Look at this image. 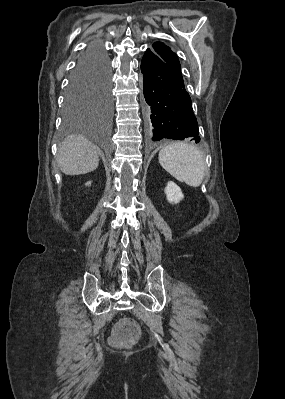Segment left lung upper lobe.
<instances>
[{"label": "left lung upper lobe", "mask_w": 285, "mask_h": 399, "mask_svg": "<svg viewBox=\"0 0 285 399\" xmlns=\"http://www.w3.org/2000/svg\"><path fill=\"white\" fill-rule=\"evenodd\" d=\"M154 51L169 63L178 73H181V67L176 54L162 42H155L153 44Z\"/></svg>", "instance_id": "left-lung-upper-lobe-1"}]
</instances>
